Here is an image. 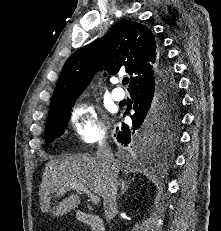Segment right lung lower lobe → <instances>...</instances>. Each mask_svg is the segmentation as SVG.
<instances>
[{"label": "right lung lower lobe", "mask_w": 221, "mask_h": 231, "mask_svg": "<svg viewBox=\"0 0 221 231\" xmlns=\"http://www.w3.org/2000/svg\"><path fill=\"white\" fill-rule=\"evenodd\" d=\"M158 66V76L153 83L130 92L134 100L133 109L135 110V113L131 116L132 125L122 124L117 133V140L120 143L127 147H133L139 154L145 157L156 156L160 153L162 147L160 144L148 141L141 130L153 106L160 96L180 99L171 64L162 52Z\"/></svg>", "instance_id": "1"}]
</instances>
